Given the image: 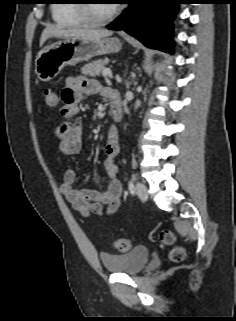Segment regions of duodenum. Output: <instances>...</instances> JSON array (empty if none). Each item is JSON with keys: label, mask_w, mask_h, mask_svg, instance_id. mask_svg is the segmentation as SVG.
I'll list each match as a JSON object with an SVG mask.
<instances>
[{"label": "duodenum", "mask_w": 236, "mask_h": 321, "mask_svg": "<svg viewBox=\"0 0 236 321\" xmlns=\"http://www.w3.org/2000/svg\"><path fill=\"white\" fill-rule=\"evenodd\" d=\"M110 110L115 121L120 122L123 119V108L118 96L111 97Z\"/></svg>", "instance_id": "duodenum-1"}]
</instances>
